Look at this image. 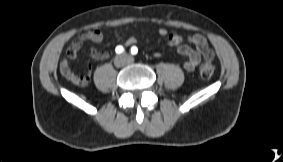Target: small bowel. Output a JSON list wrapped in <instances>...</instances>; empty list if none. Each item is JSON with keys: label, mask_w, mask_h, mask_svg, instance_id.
<instances>
[{"label": "small bowel", "mask_w": 283, "mask_h": 162, "mask_svg": "<svg viewBox=\"0 0 283 162\" xmlns=\"http://www.w3.org/2000/svg\"><path fill=\"white\" fill-rule=\"evenodd\" d=\"M159 34L167 39V46H171L177 49L178 53L186 58L183 63V68L186 71H194L201 59L213 58V52L210 50L206 39L200 34H194L184 38L177 32H169L165 28L159 29ZM103 40V32L100 29H95L92 31L81 32L77 39L73 41L66 51V58H64L60 63V70H70L69 60L74 59L80 48L85 41H92L94 43H99ZM137 42L135 38H129L126 41V45L130 46ZM90 55L93 59L104 60L110 56L108 51L91 50ZM159 52H155V57H160Z\"/></svg>", "instance_id": "small-bowel-1"}]
</instances>
